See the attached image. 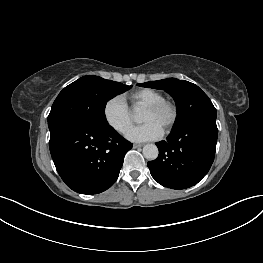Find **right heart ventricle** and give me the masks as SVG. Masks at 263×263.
Returning a JSON list of instances; mask_svg holds the SVG:
<instances>
[{
  "mask_svg": "<svg viewBox=\"0 0 263 263\" xmlns=\"http://www.w3.org/2000/svg\"><path fill=\"white\" fill-rule=\"evenodd\" d=\"M128 97L134 106H147L165 99L162 93L151 88L137 89L131 92Z\"/></svg>",
  "mask_w": 263,
  "mask_h": 263,
  "instance_id": "e07e8e85",
  "label": "right heart ventricle"
}]
</instances>
